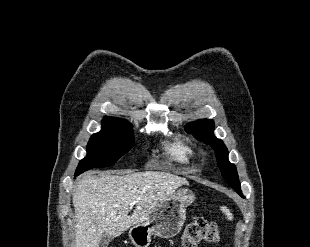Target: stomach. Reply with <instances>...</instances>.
<instances>
[{"mask_svg": "<svg viewBox=\"0 0 310 247\" xmlns=\"http://www.w3.org/2000/svg\"><path fill=\"white\" fill-rule=\"evenodd\" d=\"M196 199L195 194L179 187L172 196L159 203L147 219L133 225L129 238L135 247H148L153 235L161 238L176 236L186 219V209Z\"/></svg>", "mask_w": 310, "mask_h": 247, "instance_id": "obj_1", "label": "stomach"}]
</instances>
